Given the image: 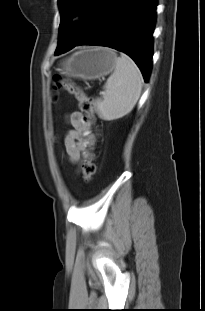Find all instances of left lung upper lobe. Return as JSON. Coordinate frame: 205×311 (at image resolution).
I'll return each mask as SVG.
<instances>
[{
    "instance_id": "5c2ea615",
    "label": "left lung upper lobe",
    "mask_w": 205,
    "mask_h": 311,
    "mask_svg": "<svg viewBox=\"0 0 205 311\" xmlns=\"http://www.w3.org/2000/svg\"><path fill=\"white\" fill-rule=\"evenodd\" d=\"M115 0H58L61 21L59 26V41L55 53L64 52L74 47L105 17ZM80 13L84 21L74 29L69 28L70 18Z\"/></svg>"
}]
</instances>
